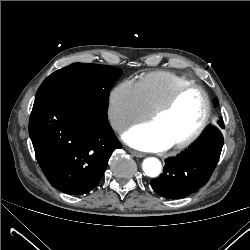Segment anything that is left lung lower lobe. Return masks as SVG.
<instances>
[{
  "instance_id": "0a47b994",
  "label": "left lung lower lobe",
  "mask_w": 250,
  "mask_h": 250,
  "mask_svg": "<svg viewBox=\"0 0 250 250\" xmlns=\"http://www.w3.org/2000/svg\"><path fill=\"white\" fill-rule=\"evenodd\" d=\"M224 144L223 135L209 126L186 151L165 161L163 173L150 182L165 198H183L202 187L214 171Z\"/></svg>"
}]
</instances>
